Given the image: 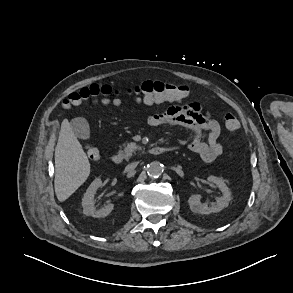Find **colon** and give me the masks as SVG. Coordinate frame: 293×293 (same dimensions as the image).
Segmentation results:
<instances>
[{
    "label": "colon",
    "instance_id": "colon-1",
    "mask_svg": "<svg viewBox=\"0 0 293 293\" xmlns=\"http://www.w3.org/2000/svg\"><path fill=\"white\" fill-rule=\"evenodd\" d=\"M125 96H138L151 98L154 101H182L187 96V89L173 83L147 80L123 89L114 88L108 84H90L68 94L61 101L64 108L79 105L88 100L95 99L102 104L119 103ZM226 127L230 131L239 128V121L232 115L226 117ZM86 153L91 161H97L100 157L99 150L92 146H86Z\"/></svg>",
    "mask_w": 293,
    "mask_h": 293
}]
</instances>
